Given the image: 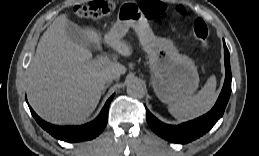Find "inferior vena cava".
Masks as SVG:
<instances>
[{"label": "inferior vena cava", "mask_w": 259, "mask_h": 156, "mask_svg": "<svg viewBox=\"0 0 259 156\" xmlns=\"http://www.w3.org/2000/svg\"><path fill=\"white\" fill-rule=\"evenodd\" d=\"M120 73L117 71H112L106 74L105 79L107 82H112L113 80H118Z\"/></svg>", "instance_id": "602c4592"}]
</instances>
